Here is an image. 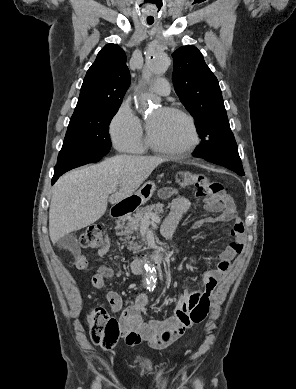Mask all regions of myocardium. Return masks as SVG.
<instances>
[{"label":"myocardium","mask_w":296,"mask_h":389,"mask_svg":"<svg viewBox=\"0 0 296 389\" xmlns=\"http://www.w3.org/2000/svg\"><path fill=\"white\" fill-rule=\"evenodd\" d=\"M164 110L180 115L187 121L190 129V140L184 146L179 148H169V147L161 146L153 140L149 129H147L148 146L156 152L166 154L172 157H183L190 154L198 146L200 142L199 131L194 117L186 110L175 106H166L164 107Z\"/></svg>","instance_id":"1"}]
</instances>
